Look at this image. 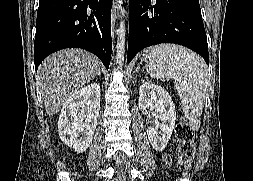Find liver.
I'll list each match as a JSON object with an SVG mask.
<instances>
[{"mask_svg":"<svg viewBox=\"0 0 253 181\" xmlns=\"http://www.w3.org/2000/svg\"><path fill=\"white\" fill-rule=\"evenodd\" d=\"M99 71V59L82 49H65L46 58L36 78L47 115L57 114L66 100L93 80Z\"/></svg>","mask_w":253,"mask_h":181,"instance_id":"6515ba94","label":"liver"}]
</instances>
